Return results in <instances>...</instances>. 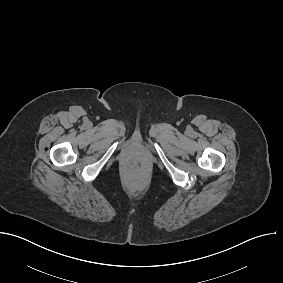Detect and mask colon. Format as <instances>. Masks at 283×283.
Masks as SVG:
<instances>
[{"label": "colon", "instance_id": "5ec220e1", "mask_svg": "<svg viewBox=\"0 0 283 283\" xmlns=\"http://www.w3.org/2000/svg\"><path fill=\"white\" fill-rule=\"evenodd\" d=\"M139 170V166L137 164L133 165V171L137 172Z\"/></svg>", "mask_w": 283, "mask_h": 283}]
</instances>
